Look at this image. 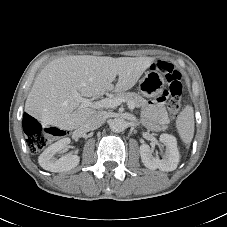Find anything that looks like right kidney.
Instances as JSON below:
<instances>
[{
  "label": "right kidney",
  "mask_w": 227,
  "mask_h": 227,
  "mask_svg": "<svg viewBox=\"0 0 227 227\" xmlns=\"http://www.w3.org/2000/svg\"><path fill=\"white\" fill-rule=\"evenodd\" d=\"M69 143V138H63L46 148L38 158L40 166L51 172H64L75 168L79 164V156L65 155L59 159L55 158V155L63 151Z\"/></svg>",
  "instance_id": "1"
}]
</instances>
